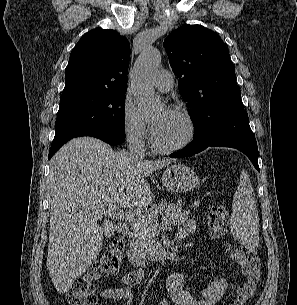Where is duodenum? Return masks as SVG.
Returning <instances> with one entry per match:
<instances>
[{"instance_id": "1", "label": "duodenum", "mask_w": 297, "mask_h": 305, "mask_svg": "<svg viewBox=\"0 0 297 305\" xmlns=\"http://www.w3.org/2000/svg\"><path fill=\"white\" fill-rule=\"evenodd\" d=\"M118 234H119V241L121 242L125 255L129 262L137 267V268H145L148 265H151L152 261L150 259L145 258L140 253L137 252L134 244V240L131 236V231L129 226L126 223L119 222L116 225ZM185 236L184 233H177V239L181 240Z\"/></svg>"}]
</instances>
